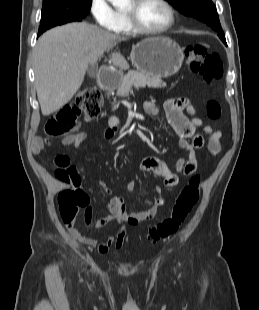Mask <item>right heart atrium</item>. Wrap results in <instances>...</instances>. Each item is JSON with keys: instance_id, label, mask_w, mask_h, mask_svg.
Listing matches in <instances>:
<instances>
[{"instance_id": "obj_1", "label": "right heart atrium", "mask_w": 259, "mask_h": 310, "mask_svg": "<svg viewBox=\"0 0 259 310\" xmlns=\"http://www.w3.org/2000/svg\"><path fill=\"white\" fill-rule=\"evenodd\" d=\"M90 12L99 26L114 31L118 29V13L113 9L108 0H91Z\"/></svg>"}]
</instances>
